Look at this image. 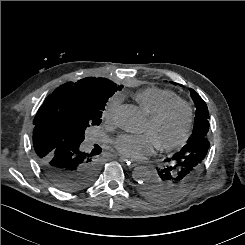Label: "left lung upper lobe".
I'll list each match as a JSON object with an SVG mask.
<instances>
[{"label": "left lung upper lobe", "instance_id": "obj_1", "mask_svg": "<svg viewBox=\"0 0 245 245\" xmlns=\"http://www.w3.org/2000/svg\"><path fill=\"white\" fill-rule=\"evenodd\" d=\"M171 83L176 84L174 82ZM190 93L192 100L194 101L196 106V115L193 132L187 142L194 141L200 138H206L210 126L208 122L209 115L206 103L193 89H190Z\"/></svg>", "mask_w": 245, "mask_h": 245}]
</instances>
